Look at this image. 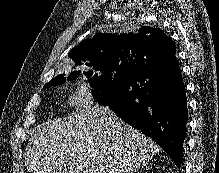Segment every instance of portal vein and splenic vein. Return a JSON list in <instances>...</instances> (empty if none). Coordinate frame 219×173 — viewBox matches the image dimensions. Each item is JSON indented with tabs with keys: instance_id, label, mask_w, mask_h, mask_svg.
<instances>
[{
	"instance_id": "obj_1",
	"label": "portal vein and splenic vein",
	"mask_w": 219,
	"mask_h": 173,
	"mask_svg": "<svg viewBox=\"0 0 219 173\" xmlns=\"http://www.w3.org/2000/svg\"><path fill=\"white\" fill-rule=\"evenodd\" d=\"M87 172H88V173H91V170L89 169V170H87Z\"/></svg>"
}]
</instances>
